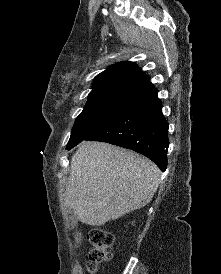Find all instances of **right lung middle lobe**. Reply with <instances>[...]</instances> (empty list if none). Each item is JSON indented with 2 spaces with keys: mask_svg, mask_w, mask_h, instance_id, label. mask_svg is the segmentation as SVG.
Listing matches in <instances>:
<instances>
[{
  "mask_svg": "<svg viewBox=\"0 0 221 274\" xmlns=\"http://www.w3.org/2000/svg\"><path fill=\"white\" fill-rule=\"evenodd\" d=\"M132 102V100L120 98L89 99L75 121L67 149H71L81 141L90 138Z\"/></svg>",
  "mask_w": 221,
  "mask_h": 274,
  "instance_id": "1",
  "label": "right lung middle lobe"
}]
</instances>
